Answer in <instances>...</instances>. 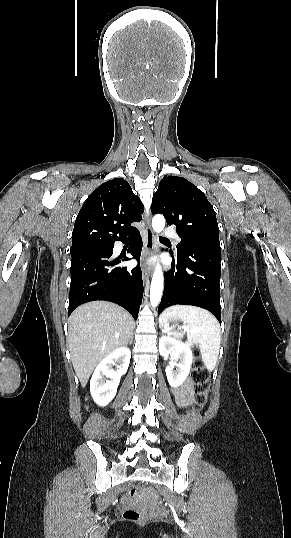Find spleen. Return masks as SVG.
Segmentation results:
<instances>
[{"label":"spleen","instance_id":"spleen-1","mask_svg":"<svg viewBox=\"0 0 291 538\" xmlns=\"http://www.w3.org/2000/svg\"><path fill=\"white\" fill-rule=\"evenodd\" d=\"M179 319L187 331L188 339L199 344L202 361L209 371L215 368L221 343L220 325L207 310L195 306L174 305L165 309L160 317V326L166 329L168 321Z\"/></svg>","mask_w":291,"mask_h":538}]
</instances>
